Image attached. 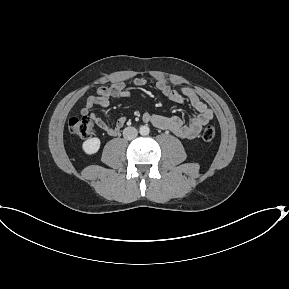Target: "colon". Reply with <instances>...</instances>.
<instances>
[{
    "instance_id": "obj_1",
    "label": "colon",
    "mask_w": 289,
    "mask_h": 289,
    "mask_svg": "<svg viewBox=\"0 0 289 289\" xmlns=\"http://www.w3.org/2000/svg\"><path fill=\"white\" fill-rule=\"evenodd\" d=\"M68 128L71 134L79 139H87L93 134V122L88 117H73L68 122ZM216 130L214 125H207L202 132V139L210 142L214 139Z\"/></svg>"
}]
</instances>
